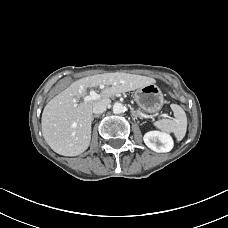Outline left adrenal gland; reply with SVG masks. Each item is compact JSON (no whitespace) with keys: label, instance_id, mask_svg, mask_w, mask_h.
<instances>
[{"label":"left adrenal gland","instance_id":"1","mask_svg":"<svg viewBox=\"0 0 228 228\" xmlns=\"http://www.w3.org/2000/svg\"><path fill=\"white\" fill-rule=\"evenodd\" d=\"M131 113L134 117H139L140 119H143L142 116H140L133 108H131Z\"/></svg>","mask_w":228,"mask_h":228}]
</instances>
